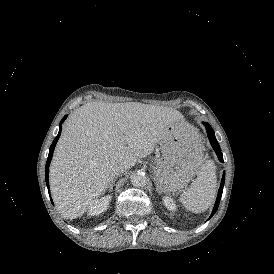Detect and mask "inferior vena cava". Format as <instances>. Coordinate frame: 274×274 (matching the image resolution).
<instances>
[{
  "mask_svg": "<svg viewBox=\"0 0 274 274\" xmlns=\"http://www.w3.org/2000/svg\"><path fill=\"white\" fill-rule=\"evenodd\" d=\"M123 172H124V168L121 167L120 169H118V173L117 174L119 175V174H122Z\"/></svg>",
  "mask_w": 274,
  "mask_h": 274,
  "instance_id": "obj_1",
  "label": "inferior vena cava"
}]
</instances>
